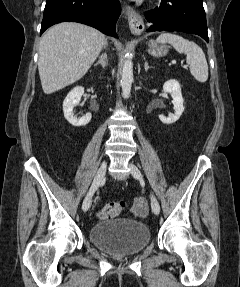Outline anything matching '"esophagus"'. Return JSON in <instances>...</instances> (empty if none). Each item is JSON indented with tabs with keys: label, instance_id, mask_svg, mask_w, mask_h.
Masks as SVG:
<instances>
[{
	"label": "esophagus",
	"instance_id": "1",
	"mask_svg": "<svg viewBox=\"0 0 240 287\" xmlns=\"http://www.w3.org/2000/svg\"><path fill=\"white\" fill-rule=\"evenodd\" d=\"M125 14L128 19L129 28L134 35H139L144 31V22L141 16L131 7H125Z\"/></svg>",
	"mask_w": 240,
	"mask_h": 287
}]
</instances>
